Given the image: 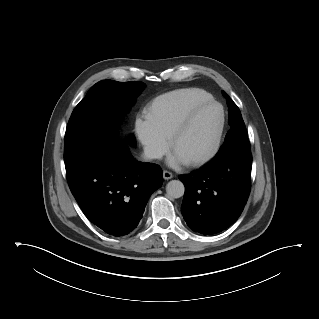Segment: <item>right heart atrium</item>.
Segmentation results:
<instances>
[{"instance_id":"obj_1","label":"right heart atrium","mask_w":319,"mask_h":319,"mask_svg":"<svg viewBox=\"0 0 319 319\" xmlns=\"http://www.w3.org/2000/svg\"><path fill=\"white\" fill-rule=\"evenodd\" d=\"M135 132L146 154L152 159H160L168 149V140L149 120L138 115L135 119Z\"/></svg>"}]
</instances>
